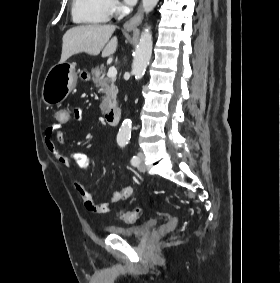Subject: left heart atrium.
I'll list each match as a JSON object with an SVG mask.
<instances>
[{"instance_id": "39dd6f15", "label": "left heart atrium", "mask_w": 280, "mask_h": 283, "mask_svg": "<svg viewBox=\"0 0 280 283\" xmlns=\"http://www.w3.org/2000/svg\"><path fill=\"white\" fill-rule=\"evenodd\" d=\"M124 2L128 5H134L137 2V0H124Z\"/></svg>"}]
</instances>
